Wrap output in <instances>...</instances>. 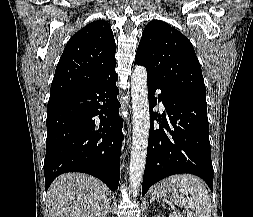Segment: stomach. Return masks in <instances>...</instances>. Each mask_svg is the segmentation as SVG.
<instances>
[{"label":"stomach","mask_w":253,"mask_h":217,"mask_svg":"<svg viewBox=\"0 0 253 217\" xmlns=\"http://www.w3.org/2000/svg\"><path fill=\"white\" fill-rule=\"evenodd\" d=\"M153 197H158V198H166L169 197L176 203V197L174 193L173 187L169 184L168 180H163L159 182L155 187H154V192H153ZM184 198V197H183ZM185 199V198H184ZM186 200V199H185ZM179 204V203H178Z\"/></svg>","instance_id":"obj_1"}]
</instances>
